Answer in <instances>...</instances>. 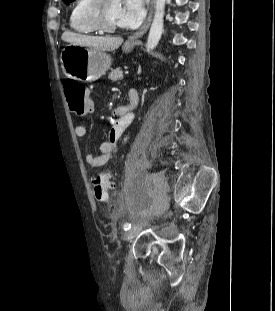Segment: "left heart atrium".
Instances as JSON below:
<instances>
[{"label": "left heart atrium", "mask_w": 275, "mask_h": 311, "mask_svg": "<svg viewBox=\"0 0 275 311\" xmlns=\"http://www.w3.org/2000/svg\"><path fill=\"white\" fill-rule=\"evenodd\" d=\"M147 0H123L120 14L121 26L134 28L146 15Z\"/></svg>", "instance_id": "left-heart-atrium-1"}]
</instances>
